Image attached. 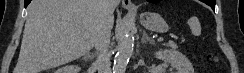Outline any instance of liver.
<instances>
[{"instance_id": "1", "label": "liver", "mask_w": 244, "mask_h": 73, "mask_svg": "<svg viewBox=\"0 0 244 73\" xmlns=\"http://www.w3.org/2000/svg\"><path fill=\"white\" fill-rule=\"evenodd\" d=\"M100 11V0H32L14 73H40L85 55L94 46Z\"/></svg>"}]
</instances>
